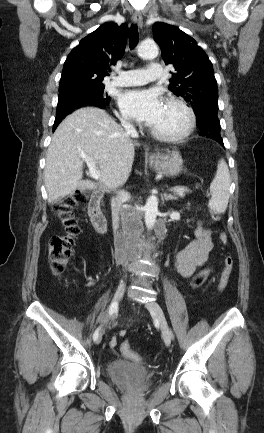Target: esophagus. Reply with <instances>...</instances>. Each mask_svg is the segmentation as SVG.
I'll return each mask as SVG.
<instances>
[{
	"label": "esophagus",
	"instance_id": "34e87169",
	"mask_svg": "<svg viewBox=\"0 0 264 433\" xmlns=\"http://www.w3.org/2000/svg\"><path fill=\"white\" fill-rule=\"evenodd\" d=\"M132 19L134 23H136L139 27H142L143 20H142V15L139 11L134 12ZM154 158H155V154H151L150 159H154Z\"/></svg>",
	"mask_w": 264,
	"mask_h": 433
}]
</instances>
